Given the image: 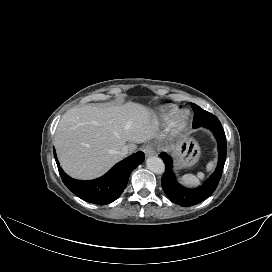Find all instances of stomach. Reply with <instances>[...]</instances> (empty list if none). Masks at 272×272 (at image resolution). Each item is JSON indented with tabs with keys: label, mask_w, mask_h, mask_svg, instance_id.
Returning a JSON list of instances; mask_svg holds the SVG:
<instances>
[{
	"label": "stomach",
	"mask_w": 272,
	"mask_h": 272,
	"mask_svg": "<svg viewBox=\"0 0 272 272\" xmlns=\"http://www.w3.org/2000/svg\"><path fill=\"white\" fill-rule=\"evenodd\" d=\"M173 155L178 168L191 167L199 160L200 147L193 138L184 136L176 144Z\"/></svg>",
	"instance_id": "obj_1"
}]
</instances>
